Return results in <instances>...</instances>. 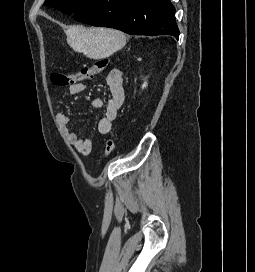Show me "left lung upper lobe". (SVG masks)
<instances>
[{
  "label": "left lung upper lobe",
  "mask_w": 255,
  "mask_h": 272,
  "mask_svg": "<svg viewBox=\"0 0 255 272\" xmlns=\"http://www.w3.org/2000/svg\"><path fill=\"white\" fill-rule=\"evenodd\" d=\"M93 0H46L44 5L51 6L63 13H75L88 6Z\"/></svg>",
  "instance_id": "obj_1"
}]
</instances>
